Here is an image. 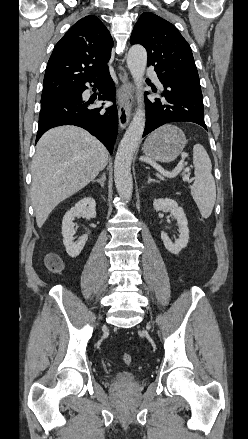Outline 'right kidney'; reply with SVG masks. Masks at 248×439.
Returning <instances> with one entry per match:
<instances>
[{"label":"right kidney","instance_id":"ca27d5eb","mask_svg":"<svg viewBox=\"0 0 248 439\" xmlns=\"http://www.w3.org/2000/svg\"><path fill=\"white\" fill-rule=\"evenodd\" d=\"M83 216L86 219L96 217V202L92 197H85L75 204L63 217L62 221V235L63 244L66 252L72 258L77 257L83 250L88 235H83L77 242H74V223L75 217Z\"/></svg>","mask_w":248,"mask_h":439}]
</instances>
